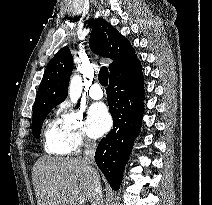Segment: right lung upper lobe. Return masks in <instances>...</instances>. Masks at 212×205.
Returning a JSON list of instances; mask_svg holds the SVG:
<instances>
[{
    "label": "right lung upper lobe",
    "instance_id": "1",
    "mask_svg": "<svg viewBox=\"0 0 212 205\" xmlns=\"http://www.w3.org/2000/svg\"><path fill=\"white\" fill-rule=\"evenodd\" d=\"M89 44L94 53L113 60L109 65L110 75L137 58L128 39L102 18L93 21ZM72 70L73 57L69 48L63 47L46 67L34 108L63 102L68 94Z\"/></svg>",
    "mask_w": 212,
    "mask_h": 205
}]
</instances>
